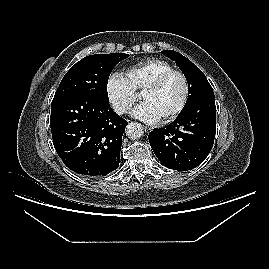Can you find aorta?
I'll return each instance as SVG.
<instances>
[{"instance_id":"1","label":"aorta","mask_w":269,"mask_h":269,"mask_svg":"<svg viewBox=\"0 0 269 269\" xmlns=\"http://www.w3.org/2000/svg\"><path fill=\"white\" fill-rule=\"evenodd\" d=\"M143 133V128L139 123H130L126 127V135L129 139H139Z\"/></svg>"}]
</instances>
